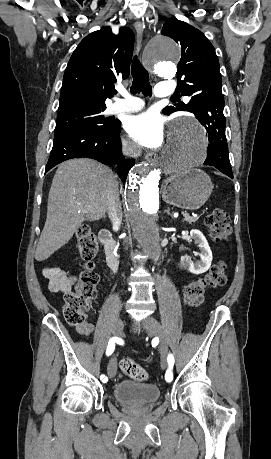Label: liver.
Here are the masks:
<instances>
[{"instance_id":"liver-1","label":"liver","mask_w":271,"mask_h":459,"mask_svg":"<svg viewBox=\"0 0 271 459\" xmlns=\"http://www.w3.org/2000/svg\"><path fill=\"white\" fill-rule=\"evenodd\" d=\"M113 184L116 180L112 170L95 160L75 158L60 164L52 180L47 220L36 247L35 259H47L65 245L83 220L103 218Z\"/></svg>"}]
</instances>
